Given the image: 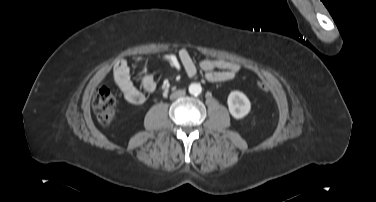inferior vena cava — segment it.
Returning a JSON list of instances; mask_svg holds the SVG:
<instances>
[{"label": "inferior vena cava", "mask_w": 376, "mask_h": 202, "mask_svg": "<svg viewBox=\"0 0 376 202\" xmlns=\"http://www.w3.org/2000/svg\"><path fill=\"white\" fill-rule=\"evenodd\" d=\"M185 95V91L184 90H178L176 92H174L172 95H171V99H175V98H178V97H182Z\"/></svg>", "instance_id": "obj_1"}]
</instances>
